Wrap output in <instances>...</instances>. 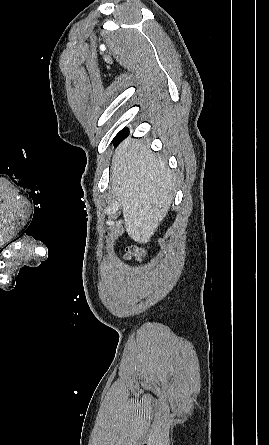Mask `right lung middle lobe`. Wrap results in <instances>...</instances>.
Wrapping results in <instances>:
<instances>
[{
  "mask_svg": "<svg viewBox=\"0 0 269 445\" xmlns=\"http://www.w3.org/2000/svg\"><path fill=\"white\" fill-rule=\"evenodd\" d=\"M125 131H126V129L122 130L120 133L117 134V136L114 139L115 143L120 139L121 136L124 135Z\"/></svg>",
  "mask_w": 269,
  "mask_h": 445,
  "instance_id": "obj_1",
  "label": "right lung middle lobe"
}]
</instances>
